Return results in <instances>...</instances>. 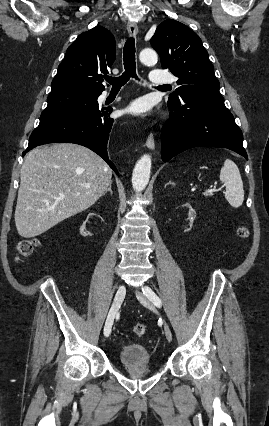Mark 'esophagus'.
Masks as SVG:
<instances>
[{
	"label": "esophagus",
	"mask_w": 269,
	"mask_h": 426,
	"mask_svg": "<svg viewBox=\"0 0 269 426\" xmlns=\"http://www.w3.org/2000/svg\"><path fill=\"white\" fill-rule=\"evenodd\" d=\"M127 30L130 36L136 37L138 33L137 25L134 22H129L127 24ZM146 146L153 150L155 148V140L152 134H150L146 140Z\"/></svg>",
	"instance_id": "1"
}]
</instances>
